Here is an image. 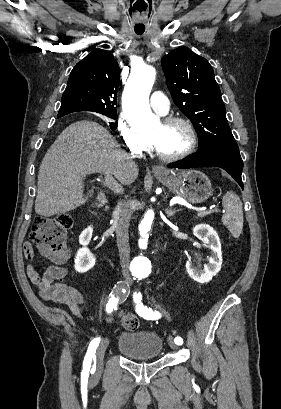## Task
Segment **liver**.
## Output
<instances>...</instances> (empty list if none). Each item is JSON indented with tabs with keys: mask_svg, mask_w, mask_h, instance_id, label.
I'll use <instances>...</instances> for the list:
<instances>
[{
	"mask_svg": "<svg viewBox=\"0 0 281 409\" xmlns=\"http://www.w3.org/2000/svg\"><path fill=\"white\" fill-rule=\"evenodd\" d=\"M91 172H110L131 184L139 168L107 128L77 120L57 136L39 166L35 213L52 217L85 205L84 178Z\"/></svg>",
	"mask_w": 281,
	"mask_h": 409,
	"instance_id": "6515ba94",
	"label": "liver"
}]
</instances>
